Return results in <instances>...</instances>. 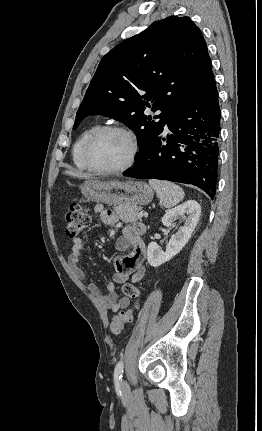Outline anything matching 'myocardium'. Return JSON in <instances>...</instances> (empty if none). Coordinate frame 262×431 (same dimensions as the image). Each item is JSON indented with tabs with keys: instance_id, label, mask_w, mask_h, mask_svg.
<instances>
[{
	"instance_id": "myocardium-1",
	"label": "myocardium",
	"mask_w": 262,
	"mask_h": 431,
	"mask_svg": "<svg viewBox=\"0 0 262 431\" xmlns=\"http://www.w3.org/2000/svg\"><path fill=\"white\" fill-rule=\"evenodd\" d=\"M109 132H117V133L123 134L124 136H126L128 138L130 145H131V151H130L128 159L126 160V162L123 165L116 167V168L101 167V166L95 164L93 159H92V148H93L94 143L96 142V140L100 136H102L106 133H109ZM139 151H140V145H139L138 138L131 129H129L128 127L123 126V125H107V126H103V127H100L99 129H97L87 139L85 146H84V150H83V159H84V162L86 163L87 167L91 171H93L95 173L103 174V175H114V174L123 173L124 171L131 168L137 160Z\"/></svg>"
}]
</instances>
